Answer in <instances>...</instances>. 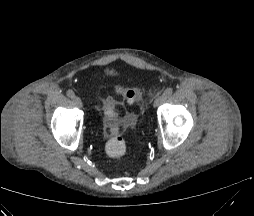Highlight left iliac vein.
<instances>
[{
  "label": "left iliac vein",
  "instance_id": "obj_1",
  "mask_svg": "<svg viewBox=\"0 0 254 216\" xmlns=\"http://www.w3.org/2000/svg\"><path fill=\"white\" fill-rule=\"evenodd\" d=\"M165 100H166V97L164 95H161L155 99L153 106L157 107V106L161 105Z\"/></svg>",
  "mask_w": 254,
  "mask_h": 216
}]
</instances>
